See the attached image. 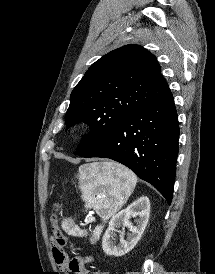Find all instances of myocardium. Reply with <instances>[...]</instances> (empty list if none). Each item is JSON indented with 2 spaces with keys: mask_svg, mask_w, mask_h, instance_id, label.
<instances>
[{
  "mask_svg": "<svg viewBox=\"0 0 215 274\" xmlns=\"http://www.w3.org/2000/svg\"><path fill=\"white\" fill-rule=\"evenodd\" d=\"M76 135L83 136L88 132V126L85 123H78L74 127Z\"/></svg>",
  "mask_w": 215,
  "mask_h": 274,
  "instance_id": "myocardium-1",
  "label": "myocardium"
}]
</instances>
